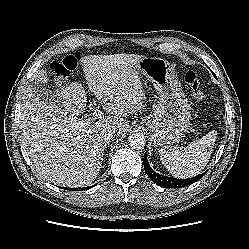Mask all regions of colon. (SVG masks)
Masks as SVG:
<instances>
[{
  "instance_id": "obj_1",
  "label": "colon",
  "mask_w": 249,
  "mask_h": 249,
  "mask_svg": "<svg viewBox=\"0 0 249 249\" xmlns=\"http://www.w3.org/2000/svg\"><path fill=\"white\" fill-rule=\"evenodd\" d=\"M79 59L80 55L74 53L51 63L50 72L54 79L58 82L64 80L75 69ZM184 79L189 86L193 97L197 101L204 100L206 95L199 75L193 70H186L184 73Z\"/></svg>"
}]
</instances>
